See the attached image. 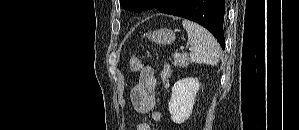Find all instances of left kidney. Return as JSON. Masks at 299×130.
I'll return each mask as SVG.
<instances>
[{"label":"left kidney","mask_w":299,"mask_h":130,"mask_svg":"<svg viewBox=\"0 0 299 130\" xmlns=\"http://www.w3.org/2000/svg\"><path fill=\"white\" fill-rule=\"evenodd\" d=\"M199 88L200 83L195 78H185L173 85L169 102V112L173 122L181 124L190 117Z\"/></svg>","instance_id":"obj_1"}]
</instances>
